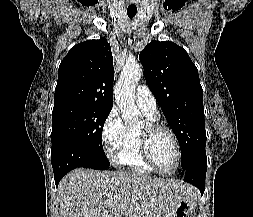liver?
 Listing matches in <instances>:
<instances>
[{"instance_id": "liver-1", "label": "liver", "mask_w": 253, "mask_h": 217, "mask_svg": "<svg viewBox=\"0 0 253 217\" xmlns=\"http://www.w3.org/2000/svg\"><path fill=\"white\" fill-rule=\"evenodd\" d=\"M195 199L182 181L131 172L78 168L58 186L61 217H171L179 201Z\"/></svg>"}]
</instances>
